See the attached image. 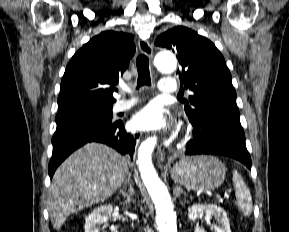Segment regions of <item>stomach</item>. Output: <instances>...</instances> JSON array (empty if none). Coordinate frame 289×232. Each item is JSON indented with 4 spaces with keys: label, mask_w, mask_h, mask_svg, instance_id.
Here are the masks:
<instances>
[{
    "label": "stomach",
    "mask_w": 289,
    "mask_h": 232,
    "mask_svg": "<svg viewBox=\"0 0 289 232\" xmlns=\"http://www.w3.org/2000/svg\"><path fill=\"white\" fill-rule=\"evenodd\" d=\"M226 167L212 156H196L176 163L170 169L171 178L192 190H214L224 181Z\"/></svg>",
    "instance_id": "obj_1"
}]
</instances>
